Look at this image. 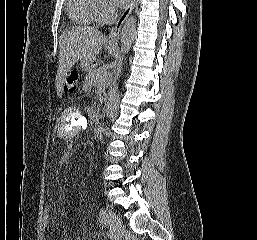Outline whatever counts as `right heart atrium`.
Listing matches in <instances>:
<instances>
[{"label": "right heart atrium", "mask_w": 257, "mask_h": 240, "mask_svg": "<svg viewBox=\"0 0 257 240\" xmlns=\"http://www.w3.org/2000/svg\"><path fill=\"white\" fill-rule=\"evenodd\" d=\"M114 9L107 0H97L95 18L99 23L107 22L113 15Z\"/></svg>", "instance_id": "d8ad5b80"}]
</instances>
